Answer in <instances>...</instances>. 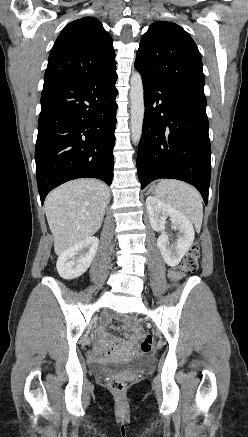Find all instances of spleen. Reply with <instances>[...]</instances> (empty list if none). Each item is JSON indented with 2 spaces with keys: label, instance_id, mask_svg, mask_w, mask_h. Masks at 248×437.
<instances>
[{
  "label": "spleen",
  "instance_id": "3e777b00",
  "mask_svg": "<svg viewBox=\"0 0 248 437\" xmlns=\"http://www.w3.org/2000/svg\"><path fill=\"white\" fill-rule=\"evenodd\" d=\"M155 195L184 214L197 230L201 229L203 205L202 197L196 188L179 180L165 179L157 184Z\"/></svg>",
  "mask_w": 248,
  "mask_h": 437
}]
</instances>
